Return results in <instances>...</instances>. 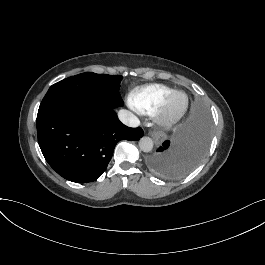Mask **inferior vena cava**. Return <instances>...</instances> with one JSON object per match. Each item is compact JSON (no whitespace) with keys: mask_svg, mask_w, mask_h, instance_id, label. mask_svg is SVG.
<instances>
[{"mask_svg":"<svg viewBox=\"0 0 265 265\" xmlns=\"http://www.w3.org/2000/svg\"><path fill=\"white\" fill-rule=\"evenodd\" d=\"M118 118L123 124L129 127H137L140 125L139 119L132 112L125 109H121L118 112Z\"/></svg>","mask_w":265,"mask_h":265,"instance_id":"inferior-vena-cava-1","label":"inferior vena cava"}]
</instances>
